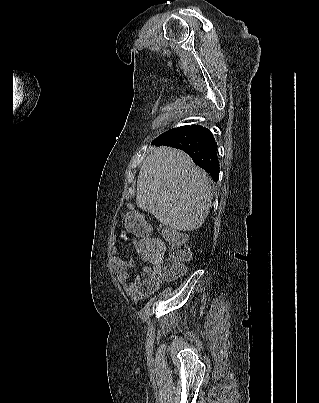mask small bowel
Returning <instances> with one entry per match:
<instances>
[{"mask_svg":"<svg viewBox=\"0 0 319 403\" xmlns=\"http://www.w3.org/2000/svg\"><path fill=\"white\" fill-rule=\"evenodd\" d=\"M118 237L120 239H124L126 248L132 247L131 237L129 236V232L127 230H120L118 232ZM150 238L153 241H159L152 237H150ZM140 256L144 262H150L141 253H140ZM134 266H135V260L133 258L124 260L121 257H119L118 255H113V257H112L111 270L113 272H115L120 277V279L125 283L126 289L130 294L136 293L137 278L130 279V275L128 273L129 269L133 268ZM149 269H150L149 266H147V265L144 266L143 273L148 271ZM135 297H138V294H135Z\"/></svg>","mask_w":319,"mask_h":403,"instance_id":"c3829d8e","label":"small bowel"}]
</instances>
